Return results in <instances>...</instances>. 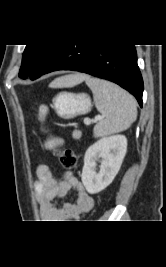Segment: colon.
<instances>
[{"mask_svg": "<svg viewBox=\"0 0 166 267\" xmlns=\"http://www.w3.org/2000/svg\"><path fill=\"white\" fill-rule=\"evenodd\" d=\"M65 169H74L77 166V156L71 149H62L56 152Z\"/></svg>", "mask_w": 166, "mask_h": 267, "instance_id": "colon-1", "label": "colon"}]
</instances>
